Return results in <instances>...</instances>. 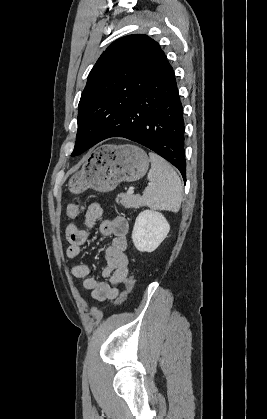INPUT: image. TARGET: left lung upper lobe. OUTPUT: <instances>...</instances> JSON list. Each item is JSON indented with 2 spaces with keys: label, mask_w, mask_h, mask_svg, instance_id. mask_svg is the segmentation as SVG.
Segmentation results:
<instances>
[{
  "label": "left lung upper lobe",
  "mask_w": 267,
  "mask_h": 419,
  "mask_svg": "<svg viewBox=\"0 0 267 419\" xmlns=\"http://www.w3.org/2000/svg\"><path fill=\"white\" fill-rule=\"evenodd\" d=\"M166 60L159 44L143 34L121 37L102 53L81 95L72 156L91 147L107 118L121 115Z\"/></svg>",
  "instance_id": "left-lung-upper-lobe-1"
}]
</instances>
